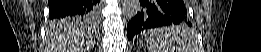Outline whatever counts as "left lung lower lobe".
Here are the masks:
<instances>
[{
    "mask_svg": "<svg viewBox=\"0 0 261 52\" xmlns=\"http://www.w3.org/2000/svg\"><path fill=\"white\" fill-rule=\"evenodd\" d=\"M140 6V11L127 25L129 40L139 32L155 27L180 24L186 29V25H191L182 0H140Z\"/></svg>",
    "mask_w": 261,
    "mask_h": 52,
    "instance_id": "obj_1",
    "label": "left lung lower lobe"
}]
</instances>
